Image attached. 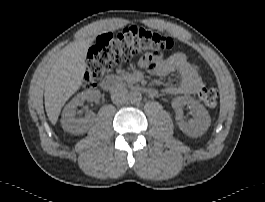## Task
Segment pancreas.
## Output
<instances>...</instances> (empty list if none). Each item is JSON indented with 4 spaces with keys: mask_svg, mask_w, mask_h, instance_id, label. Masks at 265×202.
Returning a JSON list of instances; mask_svg holds the SVG:
<instances>
[{
    "mask_svg": "<svg viewBox=\"0 0 265 202\" xmlns=\"http://www.w3.org/2000/svg\"><path fill=\"white\" fill-rule=\"evenodd\" d=\"M123 79H124L127 83H129V84H132V83L135 82V80H134L132 74H130V73H128V72H126V73L123 74Z\"/></svg>",
    "mask_w": 265,
    "mask_h": 202,
    "instance_id": "cf45deb5",
    "label": "pancreas"
}]
</instances>
